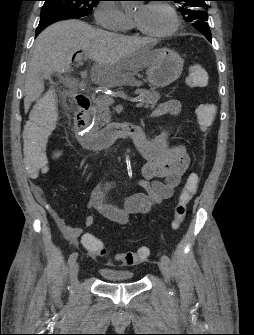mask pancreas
I'll list each match as a JSON object with an SVG mask.
<instances>
[{"mask_svg": "<svg viewBox=\"0 0 254 335\" xmlns=\"http://www.w3.org/2000/svg\"><path fill=\"white\" fill-rule=\"evenodd\" d=\"M138 95L137 99H141L142 103L145 104V108L153 109L158 101L160 100V93L151 90L147 91L144 89H138L135 91ZM95 113V128L102 127L111 121V113L108 105L104 104L102 100H98L94 108Z\"/></svg>", "mask_w": 254, "mask_h": 335, "instance_id": "1", "label": "pancreas"}]
</instances>
